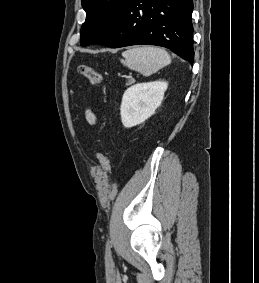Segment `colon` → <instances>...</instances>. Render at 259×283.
<instances>
[{
  "label": "colon",
  "instance_id": "colon-1",
  "mask_svg": "<svg viewBox=\"0 0 259 283\" xmlns=\"http://www.w3.org/2000/svg\"><path fill=\"white\" fill-rule=\"evenodd\" d=\"M77 72L85 77L91 84L100 85L103 83V76L92 66L88 64H79L77 66ZM99 161L107 174L111 172V162L110 159L105 152H100L98 154Z\"/></svg>",
  "mask_w": 259,
  "mask_h": 283
}]
</instances>
